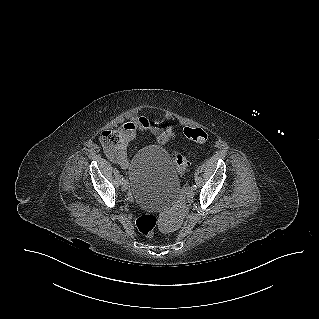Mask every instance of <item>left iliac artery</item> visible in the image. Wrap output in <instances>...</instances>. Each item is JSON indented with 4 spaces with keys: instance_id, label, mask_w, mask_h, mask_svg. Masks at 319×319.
Listing matches in <instances>:
<instances>
[{
    "instance_id": "44dca946",
    "label": "left iliac artery",
    "mask_w": 319,
    "mask_h": 319,
    "mask_svg": "<svg viewBox=\"0 0 319 319\" xmlns=\"http://www.w3.org/2000/svg\"><path fill=\"white\" fill-rule=\"evenodd\" d=\"M191 187H192L194 190H196V185H195V184H193Z\"/></svg>"
}]
</instances>
